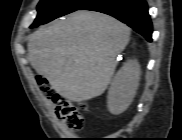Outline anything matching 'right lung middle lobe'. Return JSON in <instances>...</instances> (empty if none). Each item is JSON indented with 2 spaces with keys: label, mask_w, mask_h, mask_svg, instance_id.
Segmentation results:
<instances>
[{
  "label": "right lung middle lobe",
  "mask_w": 182,
  "mask_h": 140,
  "mask_svg": "<svg viewBox=\"0 0 182 140\" xmlns=\"http://www.w3.org/2000/svg\"><path fill=\"white\" fill-rule=\"evenodd\" d=\"M89 1L90 0H41L37 6L38 15L31 25V28L74 12Z\"/></svg>",
  "instance_id": "1"
}]
</instances>
